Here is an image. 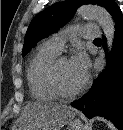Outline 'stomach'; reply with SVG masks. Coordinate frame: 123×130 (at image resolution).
<instances>
[{"mask_svg":"<svg viewBox=\"0 0 123 130\" xmlns=\"http://www.w3.org/2000/svg\"><path fill=\"white\" fill-rule=\"evenodd\" d=\"M68 130H85L84 124L80 120H71L68 125Z\"/></svg>","mask_w":123,"mask_h":130,"instance_id":"stomach-1","label":"stomach"}]
</instances>
